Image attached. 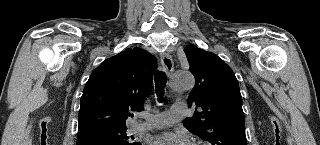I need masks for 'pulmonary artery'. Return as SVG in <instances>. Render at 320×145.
Instances as JSON below:
<instances>
[{"mask_svg":"<svg viewBox=\"0 0 320 145\" xmlns=\"http://www.w3.org/2000/svg\"><path fill=\"white\" fill-rule=\"evenodd\" d=\"M187 114V106L183 102H176L169 111L147 116L145 121L135 125L137 130L164 128L182 119Z\"/></svg>","mask_w":320,"mask_h":145,"instance_id":"1","label":"pulmonary artery"}]
</instances>
